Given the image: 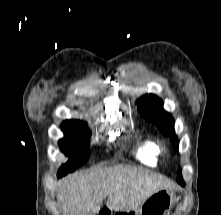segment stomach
Returning a JSON list of instances; mask_svg holds the SVG:
<instances>
[{"mask_svg": "<svg viewBox=\"0 0 221 215\" xmlns=\"http://www.w3.org/2000/svg\"><path fill=\"white\" fill-rule=\"evenodd\" d=\"M175 202L174 191L162 189L148 197L138 208L115 211L114 215H167Z\"/></svg>", "mask_w": 221, "mask_h": 215, "instance_id": "1", "label": "stomach"}]
</instances>
